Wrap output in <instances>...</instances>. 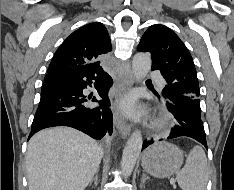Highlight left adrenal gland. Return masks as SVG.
Here are the masks:
<instances>
[{
  "instance_id": "left-adrenal-gland-1",
  "label": "left adrenal gland",
  "mask_w": 234,
  "mask_h": 190,
  "mask_svg": "<svg viewBox=\"0 0 234 190\" xmlns=\"http://www.w3.org/2000/svg\"><path fill=\"white\" fill-rule=\"evenodd\" d=\"M146 180H149V177H147L146 174L143 173V175H142V180H141V181H142V182H141V188L144 186Z\"/></svg>"
}]
</instances>
